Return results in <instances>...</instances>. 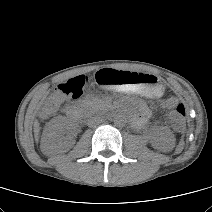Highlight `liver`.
<instances>
[{"mask_svg":"<svg viewBox=\"0 0 212 212\" xmlns=\"http://www.w3.org/2000/svg\"><path fill=\"white\" fill-rule=\"evenodd\" d=\"M39 132H40V124H39L38 120H35V122H34V136H35L36 140H38Z\"/></svg>","mask_w":212,"mask_h":212,"instance_id":"6515ba94","label":"liver"}]
</instances>
